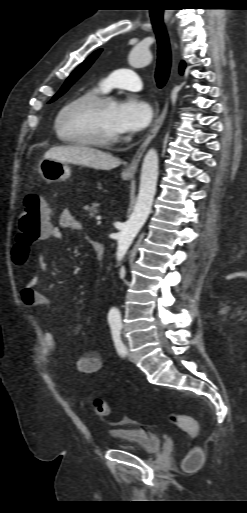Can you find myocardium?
Here are the masks:
<instances>
[{
  "label": "myocardium",
  "instance_id": "myocardium-1",
  "mask_svg": "<svg viewBox=\"0 0 247 513\" xmlns=\"http://www.w3.org/2000/svg\"><path fill=\"white\" fill-rule=\"evenodd\" d=\"M110 102H114V98L111 96H107L104 94H87L82 95L74 99L73 101L66 104L62 109L59 111L56 121H55V127L59 135H64V132L62 130V119L65 116V114L76 107H99L103 106L105 104H108ZM68 137V136H67ZM68 139L71 141V143L75 144H82V145H89V146H96V147H111L119 143L120 137L110 138V139H99V138H92V137H68Z\"/></svg>",
  "mask_w": 247,
  "mask_h": 513
}]
</instances>
